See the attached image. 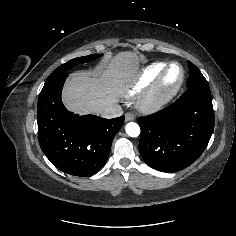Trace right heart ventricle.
<instances>
[{"label":"right heart ventricle","instance_id":"obj_1","mask_svg":"<svg viewBox=\"0 0 236 236\" xmlns=\"http://www.w3.org/2000/svg\"><path fill=\"white\" fill-rule=\"evenodd\" d=\"M165 62H155L145 67L131 84L127 95L133 96L149 86L166 67Z\"/></svg>","mask_w":236,"mask_h":236}]
</instances>
